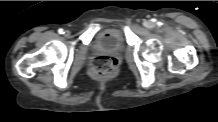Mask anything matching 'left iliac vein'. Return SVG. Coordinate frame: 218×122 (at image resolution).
<instances>
[{"instance_id": "4c4485c4", "label": "left iliac vein", "mask_w": 218, "mask_h": 122, "mask_svg": "<svg viewBox=\"0 0 218 122\" xmlns=\"http://www.w3.org/2000/svg\"><path fill=\"white\" fill-rule=\"evenodd\" d=\"M152 25H153V24H152L151 22H146V23H145V27H147V28H151Z\"/></svg>"}]
</instances>
